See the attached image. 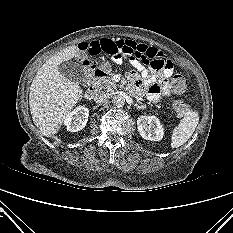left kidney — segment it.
Returning a JSON list of instances; mask_svg holds the SVG:
<instances>
[{
	"label": "left kidney",
	"mask_w": 233,
	"mask_h": 233,
	"mask_svg": "<svg viewBox=\"0 0 233 233\" xmlns=\"http://www.w3.org/2000/svg\"><path fill=\"white\" fill-rule=\"evenodd\" d=\"M137 127L142 138L150 141H160L164 131L160 120L156 116H140Z\"/></svg>",
	"instance_id": "5707ae66"
}]
</instances>
